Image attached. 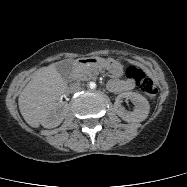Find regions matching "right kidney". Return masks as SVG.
<instances>
[{
    "instance_id": "1",
    "label": "right kidney",
    "mask_w": 187,
    "mask_h": 187,
    "mask_svg": "<svg viewBox=\"0 0 187 187\" xmlns=\"http://www.w3.org/2000/svg\"><path fill=\"white\" fill-rule=\"evenodd\" d=\"M67 111H68V107L66 104H64L63 102L56 103L53 109L42 120L41 124L45 128L57 127L63 121Z\"/></svg>"
}]
</instances>
